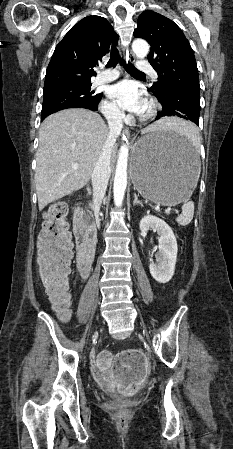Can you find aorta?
<instances>
[{
	"mask_svg": "<svg viewBox=\"0 0 233 449\" xmlns=\"http://www.w3.org/2000/svg\"><path fill=\"white\" fill-rule=\"evenodd\" d=\"M132 50L138 58L143 59L149 52V45L142 39H136L132 43ZM128 155L129 147L123 144L119 150L113 185L114 203L117 207L122 205L127 187Z\"/></svg>",
	"mask_w": 233,
	"mask_h": 449,
	"instance_id": "obj_1",
	"label": "aorta"
}]
</instances>
